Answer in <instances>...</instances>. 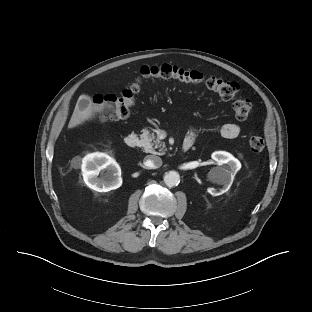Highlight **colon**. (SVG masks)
<instances>
[{
    "instance_id": "colon-1",
    "label": "colon",
    "mask_w": 312,
    "mask_h": 312,
    "mask_svg": "<svg viewBox=\"0 0 312 312\" xmlns=\"http://www.w3.org/2000/svg\"><path fill=\"white\" fill-rule=\"evenodd\" d=\"M142 78L173 79L185 83L205 84L220 97L230 100L234 116L238 120L249 117L252 104L246 98L238 97L239 85L236 82L215 76H205L196 70H187L177 66L163 64L160 66H143L140 77L126 90L118 95H97L92 98L95 109L106 119L126 118L134 106L135 94L140 89ZM249 147L255 152H261L265 143L262 137L253 136L249 139Z\"/></svg>"
}]
</instances>
